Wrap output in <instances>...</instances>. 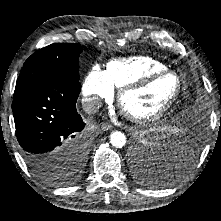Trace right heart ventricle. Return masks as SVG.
I'll use <instances>...</instances> for the list:
<instances>
[{
    "label": "right heart ventricle",
    "instance_id": "1",
    "mask_svg": "<svg viewBox=\"0 0 221 221\" xmlns=\"http://www.w3.org/2000/svg\"><path fill=\"white\" fill-rule=\"evenodd\" d=\"M167 66L149 56H132L113 59L107 63L105 75L112 86L121 88L143 76L166 70Z\"/></svg>",
    "mask_w": 221,
    "mask_h": 221
}]
</instances>
